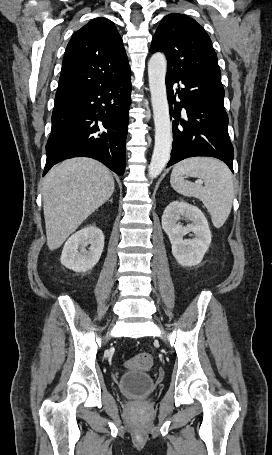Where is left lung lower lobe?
<instances>
[{"label": "left lung lower lobe", "mask_w": 272, "mask_h": 455, "mask_svg": "<svg viewBox=\"0 0 272 455\" xmlns=\"http://www.w3.org/2000/svg\"><path fill=\"white\" fill-rule=\"evenodd\" d=\"M180 102H176L173 85ZM167 96L173 120V145L167 167L194 156H210L224 161L233 172V146L228 134L221 78L189 71L166 74ZM185 112L181 113L182 109Z\"/></svg>", "instance_id": "obj_1"}]
</instances>
